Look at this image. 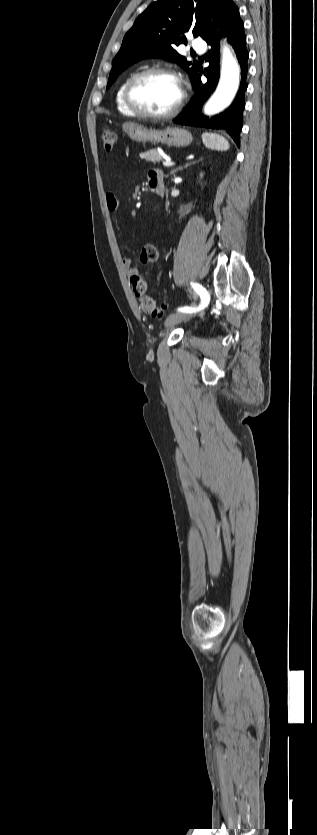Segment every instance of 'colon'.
I'll use <instances>...</instances> for the list:
<instances>
[{"instance_id": "5ec220e1", "label": "colon", "mask_w": 317, "mask_h": 835, "mask_svg": "<svg viewBox=\"0 0 317 835\" xmlns=\"http://www.w3.org/2000/svg\"><path fill=\"white\" fill-rule=\"evenodd\" d=\"M101 139L104 145V148L108 151L112 150L117 142V135L112 130H103L101 132ZM159 256V251L155 246H151L149 249L148 258L150 260H156ZM131 286L133 289L134 294L138 298L139 307L140 309L146 313L151 315L152 317H161L163 316L164 309L160 306L156 305V302L152 297L146 294L147 291V281L141 274H134L130 278Z\"/></svg>"}]
</instances>
